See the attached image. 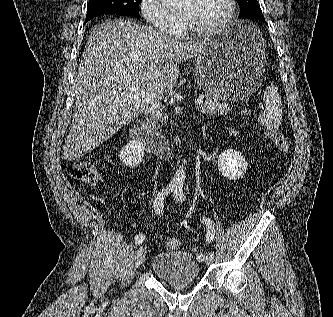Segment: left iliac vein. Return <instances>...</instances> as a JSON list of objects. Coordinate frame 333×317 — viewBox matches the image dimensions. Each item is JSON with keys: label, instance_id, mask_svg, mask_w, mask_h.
Instances as JSON below:
<instances>
[{"label": "left iliac vein", "instance_id": "4c4485c4", "mask_svg": "<svg viewBox=\"0 0 333 317\" xmlns=\"http://www.w3.org/2000/svg\"><path fill=\"white\" fill-rule=\"evenodd\" d=\"M213 260H214L213 253H209L205 258V263L209 265L213 262Z\"/></svg>", "mask_w": 333, "mask_h": 317}]
</instances>
